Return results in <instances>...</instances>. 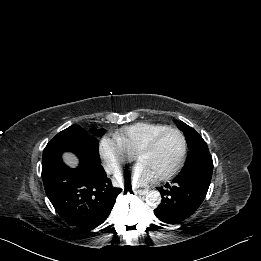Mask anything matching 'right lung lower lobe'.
I'll list each match as a JSON object with an SVG mask.
<instances>
[{
    "label": "right lung lower lobe",
    "mask_w": 261,
    "mask_h": 261,
    "mask_svg": "<svg viewBox=\"0 0 261 261\" xmlns=\"http://www.w3.org/2000/svg\"><path fill=\"white\" fill-rule=\"evenodd\" d=\"M73 149L80 166L71 169L62 160L48 168L42 166L44 188L63 219L79 228L92 229L106 220L122 190L112 187L100 160L90 155L81 139Z\"/></svg>",
    "instance_id": "right-lung-lower-lobe-1"
}]
</instances>
